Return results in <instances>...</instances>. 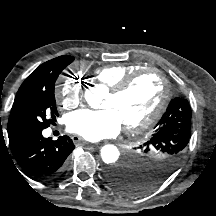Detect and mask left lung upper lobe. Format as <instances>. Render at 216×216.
Returning a JSON list of instances; mask_svg holds the SVG:
<instances>
[{
	"label": "left lung upper lobe",
	"instance_id": "1",
	"mask_svg": "<svg viewBox=\"0 0 216 216\" xmlns=\"http://www.w3.org/2000/svg\"><path fill=\"white\" fill-rule=\"evenodd\" d=\"M191 117L192 111L187 100H171L155 126V133L140 147L151 163L142 171L133 168L135 196L156 186L178 163L191 138Z\"/></svg>",
	"mask_w": 216,
	"mask_h": 216
}]
</instances>
